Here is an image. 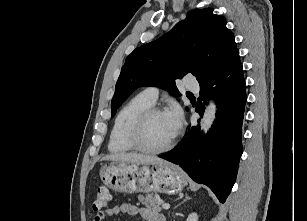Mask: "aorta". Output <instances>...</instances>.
I'll return each mask as SVG.
<instances>
[{"mask_svg":"<svg viewBox=\"0 0 307 221\" xmlns=\"http://www.w3.org/2000/svg\"><path fill=\"white\" fill-rule=\"evenodd\" d=\"M217 110V105L215 101L211 100L205 109L204 115L201 120V130L203 133H207L211 128L213 121L215 119V114Z\"/></svg>","mask_w":307,"mask_h":221,"instance_id":"1","label":"aorta"}]
</instances>
